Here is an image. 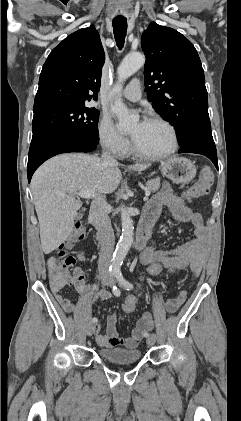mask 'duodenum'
I'll use <instances>...</instances> for the list:
<instances>
[{
	"label": "duodenum",
	"instance_id": "duodenum-1",
	"mask_svg": "<svg viewBox=\"0 0 241 421\" xmlns=\"http://www.w3.org/2000/svg\"><path fill=\"white\" fill-rule=\"evenodd\" d=\"M155 220L156 219L154 217L146 215L142 219L136 234L135 246L137 249H141L144 247L146 241L150 236L151 229L154 225Z\"/></svg>",
	"mask_w": 241,
	"mask_h": 421
}]
</instances>
